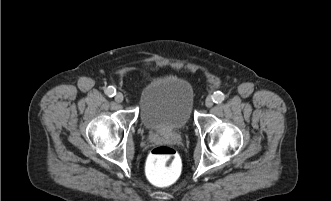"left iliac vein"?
Here are the masks:
<instances>
[{
  "mask_svg": "<svg viewBox=\"0 0 331 201\" xmlns=\"http://www.w3.org/2000/svg\"><path fill=\"white\" fill-rule=\"evenodd\" d=\"M214 101H213V99L211 98V97H207L206 98V101H205V105H206V107H208V108H210V107H212L213 106V103Z\"/></svg>",
  "mask_w": 331,
  "mask_h": 201,
  "instance_id": "1",
  "label": "left iliac vein"
}]
</instances>
